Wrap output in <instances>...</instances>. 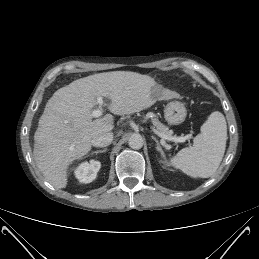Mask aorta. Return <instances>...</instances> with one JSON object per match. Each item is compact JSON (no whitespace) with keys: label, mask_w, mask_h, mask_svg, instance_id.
I'll return each instance as SVG.
<instances>
[{"label":"aorta","mask_w":259,"mask_h":259,"mask_svg":"<svg viewBox=\"0 0 259 259\" xmlns=\"http://www.w3.org/2000/svg\"><path fill=\"white\" fill-rule=\"evenodd\" d=\"M128 144L132 149L138 150L143 147L144 140L140 134H133L130 136Z\"/></svg>","instance_id":"obj_1"}]
</instances>
